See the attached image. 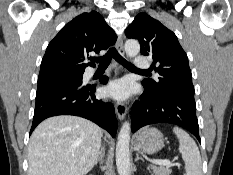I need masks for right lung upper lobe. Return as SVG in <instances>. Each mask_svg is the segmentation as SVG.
Wrapping results in <instances>:
<instances>
[{"mask_svg": "<svg viewBox=\"0 0 233 175\" xmlns=\"http://www.w3.org/2000/svg\"><path fill=\"white\" fill-rule=\"evenodd\" d=\"M117 36L96 11L82 13L66 24L49 43L41 62L39 78L84 73L94 63H83L90 52L113 45Z\"/></svg>", "mask_w": 233, "mask_h": 175, "instance_id": "obj_1", "label": "right lung upper lobe"}]
</instances>
